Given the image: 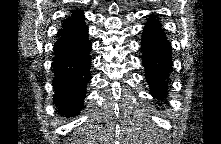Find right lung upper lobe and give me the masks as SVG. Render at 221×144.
<instances>
[{
  "label": "right lung upper lobe",
  "instance_id": "obj_1",
  "mask_svg": "<svg viewBox=\"0 0 221 144\" xmlns=\"http://www.w3.org/2000/svg\"><path fill=\"white\" fill-rule=\"evenodd\" d=\"M83 13L81 10H73L72 17L65 20L62 24V29L58 31V36H61L76 27L84 24L83 22Z\"/></svg>",
  "mask_w": 221,
  "mask_h": 144
}]
</instances>
